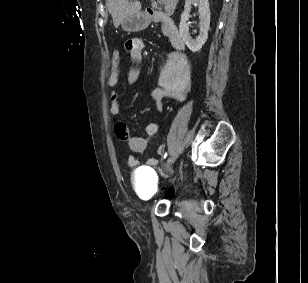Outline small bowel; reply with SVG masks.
Masks as SVG:
<instances>
[{
	"label": "small bowel",
	"mask_w": 308,
	"mask_h": 283,
	"mask_svg": "<svg viewBox=\"0 0 308 283\" xmlns=\"http://www.w3.org/2000/svg\"><path fill=\"white\" fill-rule=\"evenodd\" d=\"M144 43L141 39L133 38L125 43V49L129 53L130 58L139 62L142 58ZM128 83L135 84L140 77V69L133 67L128 71ZM119 79V68H113L111 71L107 84L110 87H115ZM191 80L190 71L187 60L177 54L171 53L169 58L162 69L159 77V87L152 92V97L156 101V108L161 111L163 108V101L165 99H175L183 101L186 95L190 91ZM121 109L119 94L113 91L110 95V114L112 117L119 115ZM161 126L156 123H151L146 127V133L149 136L156 135ZM115 135L118 139L126 141L129 148L136 153H142L146 150L148 145V138L145 136L132 135L128 126L118 121L115 124ZM164 150V145L158 147V154H161ZM129 166H136L138 162L134 158L128 159ZM147 164L154 166L157 164V160L150 158L147 160Z\"/></svg>",
	"instance_id": "obj_1"
}]
</instances>
